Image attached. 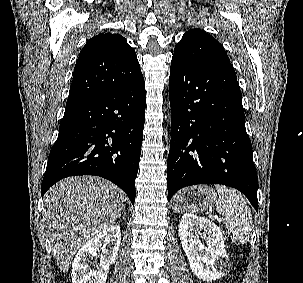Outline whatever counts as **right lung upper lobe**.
<instances>
[{"mask_svg": "<svg viewBox=\"0 0 303 283\" xmlns=\"http://www.w3.org/2000/svg\"><path fill=\"white\" fill-rule=\"evenodd\" d=\"M142 76L136 53L120 34L102 33L81 50L66 106L125 88Z\"/></svg>", "mask_w": 303, "mask_h": 283, "instance_id": "obj_1", "label": "right lung upper lobe"}]
</instances>
